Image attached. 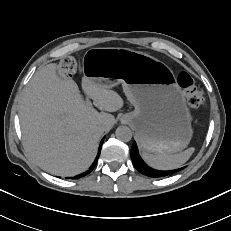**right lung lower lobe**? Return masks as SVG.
Instances as JSON below:
<instances>
[{"instance_id":"obj_1","label":"right lung lower lobe","mask_w":231,"mask_h":231,"mask_svg":"<svg viewBox=\"0 0 231 231\" xmlns=\"http://www.w3.org/2000/svg\"><path fill=\"white\" fill-rule=\"evenodd\" d=\"M103 140H104V138L102 139L101 144H100V151H101V147H102ZM100 151H99V153H98V155H97V157H96L94 163L91 165L90 169L87 170L86 172L82 173V174H79V175L73 177V179L81 178V177H83V176L89 174V173L95 168V166H96V164H97V162H98V158H99V155H100Z\"/></svg>"}]
</instances>
